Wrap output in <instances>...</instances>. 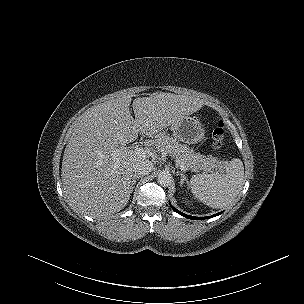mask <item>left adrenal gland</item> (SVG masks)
<instances>
[{"label":"left adrenal gland","instance_id":"1","mask_svg":"<svg viewBox=\"0 0 304 304\" xmlns=\"http://www.w3.org/2000/svg\"><path fill=\"white\" fill-rule=\"evenodd\" d=\"M176 173H177V175H179L181 177V180H180V186L181 187L184 183L188 184V179L183 172L177 171Z\"/></svg>","mask_w":304,"mask_h":304}]
</instances>
